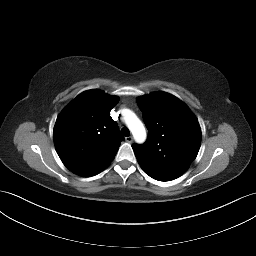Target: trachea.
Segmentation results:
<instances>
[{
	"label": "trachea",
	"instance_id": "1",
	"mask_svg": "<svg viewBox=\"0 0 256 256\" xmlns=\"http://www.w3.org/2000/svg\"><path fill=\"white\" fill-rule=\"evenodd\" d=\"M121 134H122L123 136L128 137V136L130 135V131H129L128 128L123 127V128L121 129Z\"/></svg>",
	"mask_w": 256,
	"mask_h": 256
}]
</instances>
